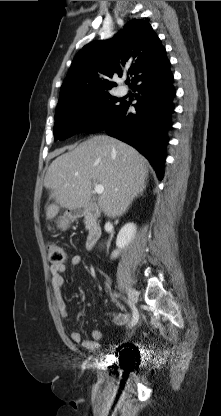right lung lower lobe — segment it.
Wrapping results in <instances>:
<instances>
[{
  "label": "right lung lower lobe",
  "instance_id": "right-lung-lower-lobe-1",
  "mask_svg": "<svg viewBox=\"0 0 221 416\" xmlns=\"http://www.w3.org/2000/svg\"><path fill=\"white\" fill-rule=\"evenodd\" d=\"M172 82L170 69L145 77L132 86L133 91L139 93L133 105L135 112L129 111L130 103L121 101L110 121L98 130H105L108 135L135 147L150 161L159 180L163 178L165 147L169 141L167 131L172 126L175 96Z\"/></svg>",
  "mask_w": 221,
  "mask_h": 416
}]
</instances>
